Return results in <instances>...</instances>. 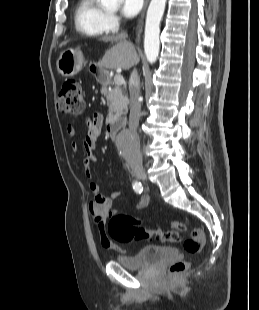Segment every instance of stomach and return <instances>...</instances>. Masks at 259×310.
Instances as JSON below:
<instances>
[{
    "mask_svg": "<svg viewBox=\"0 0 259 310\" xmlns=\"http://www.w3.org/2000/svg\"><path fill=\"white\" fill-rule=\"evenodd\" d=\"M84 57L80 49L69 48L57 60V70L65 77L76 75L83 67Z\"/></svg>",
    "mask_w": 259,
    "mask_h": 310,
    "instance_id": "0dacf381",
    "label": "stomach"
}]
</instances>
